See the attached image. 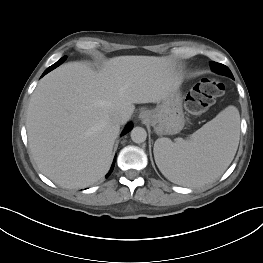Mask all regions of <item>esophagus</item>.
Segmentation results:
<instances>
[{"label":"esophagus","instance_id":"esophagus-1","mask_svg":"<svg viewBox=\"0 0 263 263\" xmlns=\"http://www.w3.org/2000/svg\"><path fill=\"white\" fill-rule=\"evenodd\" d=\"M146 117V112H141L139 118L144 119Z\"/></svg>","mask_w":263,"mask_h":263}]
</instances>
